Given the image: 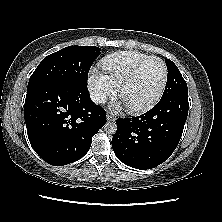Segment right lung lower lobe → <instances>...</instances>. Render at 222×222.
<instances>
[{
    "label": "right lung lower lobe",
    "instance_id": "1",
    "mask_svg": "<svg viewBox=\"0 0 222 222\" xmlns=\"http://www.w3.org/2000/svg\"><path fill=\"white\" fill-rule=\"evenodd\" d=\"M24 117L31 146L54 166L82 158L106 123V113L91 101L87 88L60 83L27 90Z\"/></svg>",
    "mask_w": 222,
    "mask_h": 222
}]
</instances>
